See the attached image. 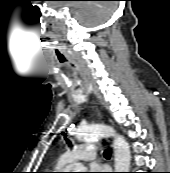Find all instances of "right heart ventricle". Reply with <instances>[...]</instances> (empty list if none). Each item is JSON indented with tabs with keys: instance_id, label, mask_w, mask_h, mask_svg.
<instances>
[{
	"instance_id": "right-heart-ventricle-1",
	"label": "right heart ventricle",
	"mask_w": 170,
	"mask_h": 173,
	"mask_svg": "<svg viewBox=\"0 0 170 173\" xmlns=\"http://www.w3.org/2000/svg\"><path fill=\"white\" fill-rule=\"evenodd\" d=\"M64 164H65V162L62 159H59L57 168H62Z\"/></svg>"
}]
</instances>
